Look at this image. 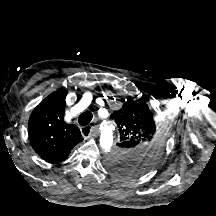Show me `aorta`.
<instances>
[{"instance_id":"762f6f07","label":"aorta","mask_w":216,"mask_h":216,"mask_svg":"<svg viewBox=\"0 0 216 216\" xmlns=\"http://www.w3.org/2000/svg\"><path fill=\"white\" fill-rule=\"evenodd\" d=\"M115 126L112 122H103L101 124L100 145L106 152H109L113 146Z\"/></svg>"}]
</instances>
